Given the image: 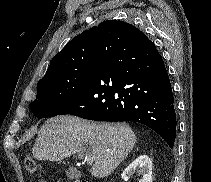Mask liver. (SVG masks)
I'll return each instance as SVG.
<instances>
[{
  "instance_id": "liver-1",
  "label": "liver",
  "mask_w": 211,
  "mask_h": 182,
  "mask_svg": "<svg viewBox=\"0 0 211 182\" xmlns=\"http://www.w3.org/2000/svg\"><path fill=\"white\" fill-rule=\"evenodd\" d=\"M136 144V135L125 123H92L65 115L48 119L32 149L37 160L62 161L72 154L93 156L90 173L97 178L110 175Z\"/></svg>"
}]
</instances>
